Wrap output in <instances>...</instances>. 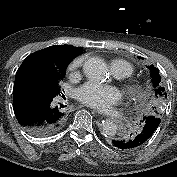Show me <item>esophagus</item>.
Returning a JSON list of instances; mask_svg holds the SVG:
<instances>
[{
	"label": "esophagus",
	"mask_w": 177,
	"mask_h": 177,
	"mask_svg": "<svg viewBox=\"0 0 177 177\" xmlns=\"http://www.w3.org/2000/svg\"><path fill=\"white\" fill-rule=\"evenodd\" d=\"M96 112H97V111H96ZM97 113H98V115H99L100 117H102V118H103V117H105V116H106V114H107V113H106V111H105V110H103V109H102V110H100V111H99V112H97Z\"/></svg>",
	"instance_id": "34e87169"
}]
</instances>
